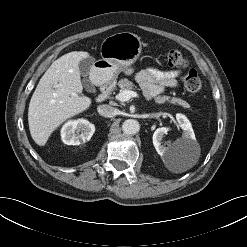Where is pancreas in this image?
Here are the masks:
<instances>
[{
  "instance_id": "cf45deb5",
  "label": "pancreas",
  "mask_w": 247,
  "mask_h": 247,
  "mask_svg": "<svg viewBox=\"0 0 247 247\" xmlns=\"http://www.w3.org/2000/svg\"><path fill=\"white\" fill-rule=\"evenodd\" d=\"M118 86L121 88V91L134 89L133 82L129 81L126 78L121 79L118 82ZM155 100L158 103L169 102V103L174 104V105H181L183 108H190V105L186 101H184L180 98H176V97H170V96L163 95V96L156 97Z\"/></svg>"
}]
</instances>
